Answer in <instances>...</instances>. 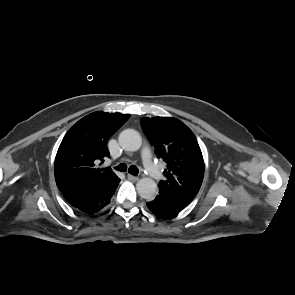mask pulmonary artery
Returning <instances> with one entry per match:
<instances>
[{"label": "pulmonary artery", "mask_w": 295, "mask_h": 295, "mask_svg": "<svg viewBox=\"0 0 295 295\" xmlns=\"http://www.w3.org/2000/svg\"><path fill=\"white\" fill-rule=\"evenodd\" d=\"M142 160L144 167L150 177H152L155 180H160L162 178V175L158 169V167L154 164L153 159H152V153L149 147H144L142 149Z\"/></svg>", "instance_id": "1"}]
</instances>
